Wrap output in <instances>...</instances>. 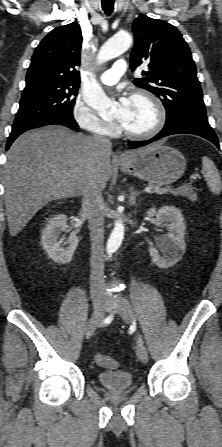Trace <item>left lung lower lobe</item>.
<instances>
[{
    "instance_id": "1",
    "label": "left lung lower lobe",
    "mask_w": 222,
    "mask_h": 447,
    "mask_svg": "<svg viewBox=\"0 0 222 447\" xmlns=\"http://www.w3.org/2000/svg\"><path fill=\"white\" fill-rule=\"evenodd\" d=\"M173 134H194L201 136L219 148V141L213 129L208 122H204L187 115H179L170 121H167L164 128L152 139L146 141H130L128 144L131 148L145 146L153 141Z\"/></svg>"
}]
</instances>
